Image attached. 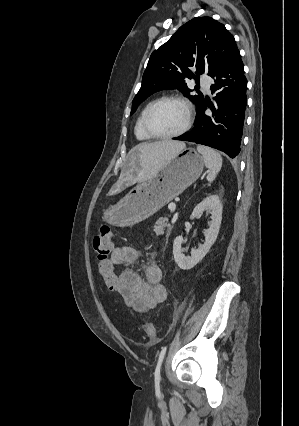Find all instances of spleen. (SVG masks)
I'll list each match as a JSON object with an SVG mask.
<instances>
[{"instance_id": "1", "label": "spleen", "mask_w": 299, "mask_h": 426, "mask_svg": "<svg viewBox=\"0 0 299 426\" xmlns=\"http://www.w3.org/2000/svg\"><path fill=\"white\" fill-rule=\"evenodd\" d=\"M197 151L202 155L208 168L207 180L212 182L222 167V157L218 152L206 146H197Z\"/></svg>"}]
</instances>
